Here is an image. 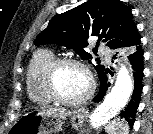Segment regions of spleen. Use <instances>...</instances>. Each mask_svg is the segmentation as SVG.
<instances>
[{"instance_id": "obj_1", "label": "spleen", "mask_w": 153, "mask_h": 134, "mask_svg": "<svg viewBox=\"0 0 153 134\" xmlns=\"http://www.w3.org/2000/svg\"><path fill=\"white\" fill-rule=\"evenodd\" d=\"M108 134H128L129 127L124 120H113L107 127Z\"/></svg>"}]
</instances>
